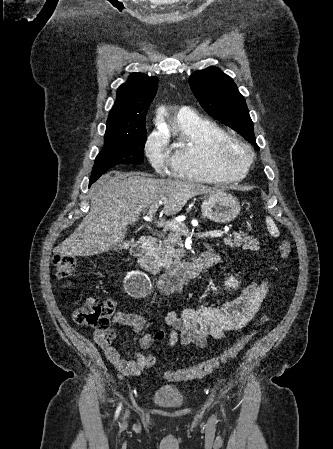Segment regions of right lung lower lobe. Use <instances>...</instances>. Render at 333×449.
<instances>
[{"mask_svg":"<svg viewBox=\"0 0 333 449\" xmlns=\"http://www.w3.org/2000/svg\"><path fill=\"white\" fill-rule=\"evenodd\" d=\"M97 179H90V181H89V186L93 183V182H95Z\"/></svg>","mask_w":333,"mask_h":449,"instance_id":"obj_1","label":"right lung lower lobe"}]
</instances>
